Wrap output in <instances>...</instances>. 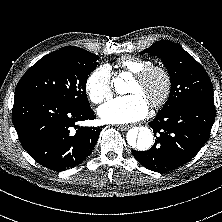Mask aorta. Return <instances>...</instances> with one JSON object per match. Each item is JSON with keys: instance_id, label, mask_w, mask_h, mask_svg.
Returning a JSON list of instances; mask_svg holds the SVG:
<instances>
[{"instance_id": "obj_1", "label": "aorta", "mask_w": 222, "mask_h": 222, "mask_svg": "<svg viewBox=\"0 0 222 222\" xmlns=\"http://www.w3.org/2000/svg\"><path fill=\"white\" fill-rule=\"evenodd\" d=\"M128 73H122L120 77L114 79V87L118 94L127 93ZM154 136L152 131L145 126L135 127L128 131L127 142L132 149L138 151L148 150L153 144Z\"/></svg>"}]
</instances>
